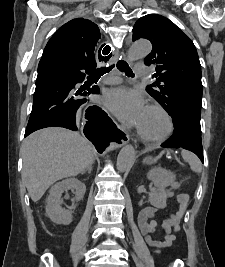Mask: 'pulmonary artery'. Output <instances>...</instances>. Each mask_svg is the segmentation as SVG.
Returning a JSON list of instances; mask_svg holds the SVG:
<instances>
[{"instance_id": "1", "label": "pulmonary artery", "mask_w": 225, "mask_h": 267, "mask_svg": "<svg viewBox=\"0 0 225 267\" xmlns=\"http://www.w3.org/2000/svg\"><path fill=\"white\" fill-rule=\"evenodd\" d=\"M135 76L136 77H141L146 74V66L144 64H136L135 65ZM120 82V78L118 77H104L101 79V83L103 84H117Z\"/></svg>"}]
</instances>
